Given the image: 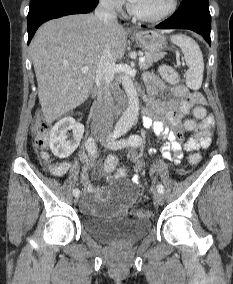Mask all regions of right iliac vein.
<instances>
[{
    "instance_id": "63e3f726",
    "label": "right iliac vein",
    "mask_w": 233,
    "mask_h": 284,
    "mask_svg": "<svg viewBox=\"0 0 233 284\" xmlns=\"http://www.w3.org/2000/svg\"><path fill=\"white\" fill-rule=\"evenodd\" d=\"M96 138L101 141L104 137L102 135H100V134H97ZM78 199H79V196H75L74 202L77 203Z\"/></svg>"
}]
</instances>
